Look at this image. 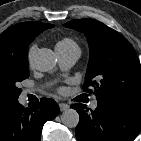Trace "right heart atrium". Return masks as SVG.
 I'll return each mask as SVG.
<instances>
[{"mask_svg": "<svg viewBox=\"0 0 141 141\" xmlns=\"http://www.w3.org/2000/svg\"><path fill=\"white\" fill-rule=\"evenodd\" d=\"M35 51H36V45L35 44L30 45L27 51V60L29 64L32 61Z\"/></svg>", "mask_w": 141, "mask_h": 141, "instance_id": "right-heart-atrium-1", "label": "right heart atrium"}]
</instances>
